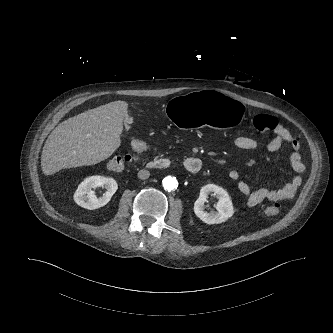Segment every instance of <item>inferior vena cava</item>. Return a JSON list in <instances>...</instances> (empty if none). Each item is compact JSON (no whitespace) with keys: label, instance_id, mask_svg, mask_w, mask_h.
<instances>
[{"label":"inferior vena cava","instance_id":"inferior-vena-cava-1","mask_svg":"<svg viewBox=\"0 0 333 333\" xmlns=\"http://www.w3.org/2000/svg\"><path fill=\"white\" fill-rule=\"evenodd\" d=\"M150 176V172L148 170L142 169L138 172V178L145 180L148 179Z\"/></svg>","mask_w":333,"mask_h":333}]
</instances>
